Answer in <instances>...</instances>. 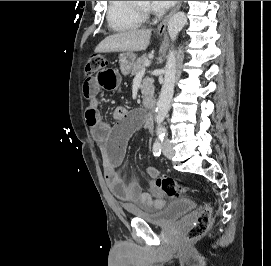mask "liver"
I'll return each mask as SVG.
<instances>
[{
  "label": "liver",
  "mask_w": 271,
  "mask_h": 266,
  "mask_svg": "<svg viewBox=\"0 0 271 266\" xmlns=\"http://www.w3.org/2000/svg\"><path fill=\"white\" fill-rule=\"evenodd\" d=\"M151 32V29H140L110 35L95 48V52H134L146 50L150 42Z\"/></svg>",
  "instance_id": "1"
}]
</instances>
